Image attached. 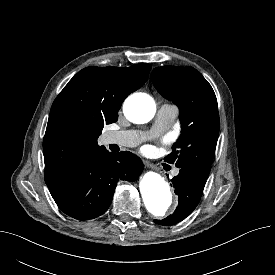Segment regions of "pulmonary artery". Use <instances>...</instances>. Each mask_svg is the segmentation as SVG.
I'll return each instance as SVG.
<instances>
[{"label": "pulmonary artery", "mask_w": 275, "mask_h": 275, "mask_svg": "<svg viewBox=\"0 0 275 275\" xmlns=\"http://www.w3.org/2000/svg\"><path fill=\"white\" fill-rule=\"evenodd\" d=\"M178 115V108L171 103H163L156 116L151 135H159L166 131ZM144 134L135 131H112L106 134V144H117L124 147H133L144 139ZM179 169L173 170V175H178Z\"/></svg>", "instance_id": "obj_1"}]
</instances>
